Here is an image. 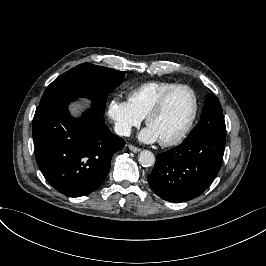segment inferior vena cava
Returning <instances> with one entry per match:
<instances>
[{"mask_svg": "<svg viewBox=\"0 0 266 266\" xmlns=\"http://www.w3.org/2000/svg\"><path fill=\"white\" fill-rule=\"evenodd\" d=\"M114 130L116 134L121 135V136H130L131 135V127L128 125L116 123L114 126Z\"/></svg>", "mask_w": 266, "mask_h": 266, "instance_id": "602c4592", "label": "inferior vena cava"}]
</instances>
